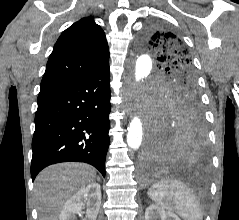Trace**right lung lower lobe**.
<instances>
[{"mask_svg":"<svg viewBox=\"0 0 239 220\" xmlns=\"http://www.w3.org/2000/svg\"><path fill=\"white\" fill-rule=\"evenodd\" d=\"M32 140V180L59 162H85L105 177L109 147V63L74 82L40 90Z\"/></svg>","mask_w":239,"mask_h":220,"instance_id":"right-lung-lower-lobe-1","label":"right lung lower lobe"}]
</instances>
